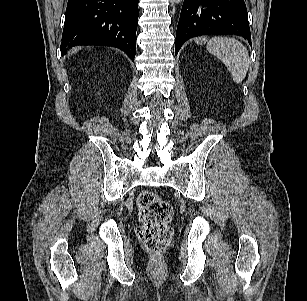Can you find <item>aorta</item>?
I'll list each match as a JSON object with an SVG mask.
<instances>
[{
    "instance_id": "762f6f07",
    "label": "aorta",
    "mask_w": 307,
    "mask_h": 301,
    "mask_svg": "<svg viewBox=\"0 0 307 301\" xmlns=\"http://www.w3.org/2000/svg\"><path fill=\"white\" fill-rule=\"evenodd\" d=\"M173 3H176V4H178V3H180L182 0H171Z\"/></svg>"
}]
</instances>
